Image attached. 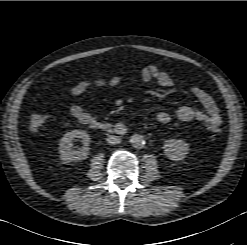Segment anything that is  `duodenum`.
I'll return each instance as SVG.
<instances>
[{
  "instance_id": "1",
  "label": "duodenum",
  "mask_w": 247,
  "mask_h": 245,
  "mask_svg": "<svg viewBox=\"0 0 247 245\" xmlns=\"http://www.w3.org/2000/svg\"><path fill=\"white\" fill-rule=\"evenodd\" d=\"M95 128L97 130L106 131V132H114V133H121L122 132L121 127H114L108 123L95 124Z\"/></svg>"
}]
</instances>
